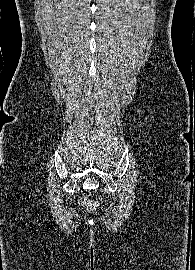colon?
<instances>
[{
    "instance_id": "1",
    "label": "colon",
    "mask_w": 195,
    "mask_h": 270,
    "mask_svg": "<svg viewBox=\"0 0 195 270\" xmlns=\"http://www.w3.org/2000/svg\"><path fill=\"white\" fill-rule=\"evenodd\" d=\"M81 204L89 211L93 212L97 208L96 202L89 200V199H83L81 201Z\"/></svg>"
}]
</instances>
